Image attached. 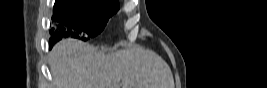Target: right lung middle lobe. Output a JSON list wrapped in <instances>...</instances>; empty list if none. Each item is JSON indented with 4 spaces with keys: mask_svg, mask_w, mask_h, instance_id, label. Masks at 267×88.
Segmentation results:
<instances>
[{
    "mask_svg": "<svg viewBox=\"0 0 267 88\" xmlns=\"http://www.w3.org/2000/svg\"><path fill=\"white\" fill-rule=\"evenodd\" d=\"M119 10V3L111 0H56L52 19L68 29L69 35L83 41L102 32L110 17ZM50 42L60 33L51 30Z\"/></svg>",
    "mask_w": 267,
    "mask_h": 88,
    "instance_id": "obj_1",
    "label": "right lung middle lobe"
}]
</instances>
